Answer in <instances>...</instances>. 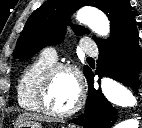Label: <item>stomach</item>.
<instances>
[{
	"instance_id": "stomach-1",
	"label": "stomach",
	"mask_w": 142,
	"mask_h": 128,
	"mask_svg": "<svg viewBox=\"0 0 142 128\" xmlns=\"http://www.w3.org/2000/svg\"><path fill=\"white\" fill-rule=\"evenodd\" d=\"M14 128H43L37 120L25 119L15 124Z\"/></svg>"
}]
</instances>
